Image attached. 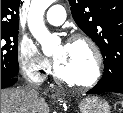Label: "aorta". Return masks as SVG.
Segmentation results:
<instances>
[{"label":"aorta","mask_w":123,"mask_h":113,"mask_svg":"<svg viewBox=\"0 0 123 113\" xmlns=\"http://www.w3.org/2000/svg\"><path fill=\"white\" fill-rule=\"evenodd\" d=\"M54 0H32L28 13V27L34 38L40 43L45 55L53 53L59 38L51 34L44 24V13Z\"/></svg>","instance_id":"aorta-1"}]
</instances>
